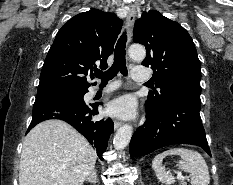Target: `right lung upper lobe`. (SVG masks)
<instances>
[{
	"label": "right lung upper lobe",
	"mask_w": 233,
	"mask_h": 185,
	"mask_svg": "<svg viewBox=\"0 0 233 185\" xmlns=\"http://www.w3.org/2000/svg\"><path fill=\"white\" fill-rule=\"evenodd\" d=\"M122 20L92 9L75 15L57 33L42 67L38 90L88 89L86 76L107 67Z\"/></svg>",
	"instance_id": "cb5924a9"
}]
</instances>
